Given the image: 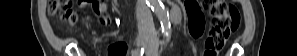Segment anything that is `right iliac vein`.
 Masks as SVG:
<instances>
[{
  "label": "right iliac vein",
  "mask_w": 297,
  "mask_h": 56,
  "mask_svg": "<svg viewBox=\"0 0 297 56\" xmlns=\"http://www.w3.org/2000/svg\"><path fill=\"white\" fill-rule=\"evenodd\" d=\"M148 38L145 37V36H139L137 39H136V45L138 47L140 46H143V45H146L148 43Z\"/></svg>",
  "instance_id": "63e3f726"
}]
</instances>
